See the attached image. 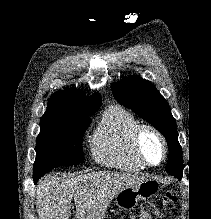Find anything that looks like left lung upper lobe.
Instances as JSON below:
<instances>
[{
    "label": "left lung upper lobe",
    "instance_id": "5c2ea615",
    "mask_svg": "<svg viewBox=\"0 0 211 219\" xmlns=\"http://www.w3.org/2000/svg\"><path fill=\"white\" fill-rule=\"evenodd\" d=\"M111 88L113 96L122 105L130 108L164 135L170 150L174 149L182 154L176 121L167 101L151 82L139 76H130L113 83ZM166 171L180 177L181 165L174 167L167 163Z\"/></svg>",
    "mask_w": 211,
    "mask_h": 219
}]
</instances>
